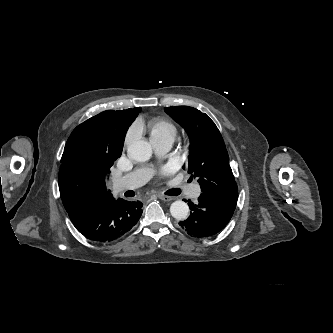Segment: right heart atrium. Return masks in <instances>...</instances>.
Masks as SVG:
<instances>
[{"instance_id":"right-heart-atrium-1","label":"right heart atrium","mask_w":333,"mask_h":333,"mask_svg":"<svg viewBox=\"0 0 333 333\" xmlns=\"http://www.w3.org/2000/svg\"><path fill=\"white\" fill-rule=\"evenodd\" d=\"M138 135V126L136 124L132 125L125 137V145L130 144L133 140L136 139Z\"/></svg>"}]
</instances>
